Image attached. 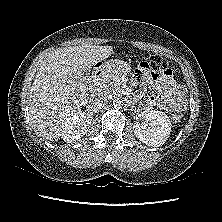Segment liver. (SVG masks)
<instances>
[{
	"mask_svg": "<svg viewBox=\"0 0 222 222\" xmlns=\"http://www.w3.org/2000/svg\"><path fill=\"white\" fill-rule=\"evenodd\" d=\"M112 51V46L68 47L50 53L41 62L30 89L29 113L42 137L59 140L65 120L88 102L85 72Z\"/></svg>",
	"mask_w": 222,
	"mask_h": 222,
	"instance_id": "6515ba94",
	"label": "liver"
}]
</instances>
